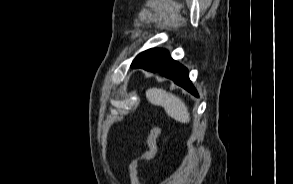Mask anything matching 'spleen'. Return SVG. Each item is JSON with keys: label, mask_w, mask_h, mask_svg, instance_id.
Listing matches in <instances>:
<instances>
[{"label": "spleen", "mask_w": 293, "mask_h": 184, "mask_svg": "<svg viewBox=\"0 0 293 184\" xmlns=\"http://www.w3.org/2000/svg\"><path fill=\"white\" fill-rule=\"evenodd\" d=\"M146 98L151 104L162 106L165 112L174 120L189 123L190 114L188 108L178 96L163 89L151 88L146 91Z\"/></svg>", "instance_id": "3e777b00"}]
</instances>
